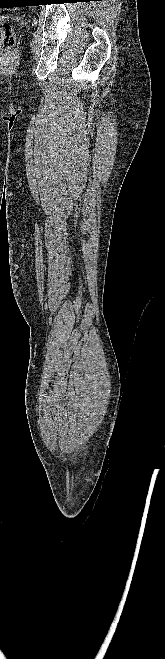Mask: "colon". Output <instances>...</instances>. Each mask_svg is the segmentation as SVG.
Segmentation results:
<instances>
[{
    "instance_id": "1",
    "label": "colon",
    "mask_w": 165,
    "mask_h": 659,
    "mask_svg": "<svg viewBox=\"0 0 165 659\" xmlns=\"http://www.w3.org/2000/svg\"><path fill=\"white\" fill-rule=\"evenodd\" d=\"M15 43V36L11 27L7 24L3 25L0 32V48L3 50H10Z\"/></svg>"
}]
</instances>
